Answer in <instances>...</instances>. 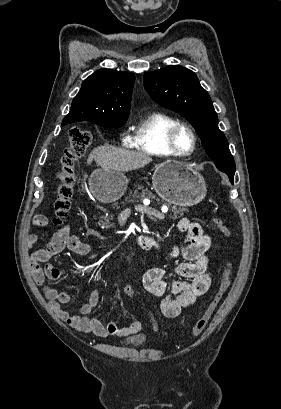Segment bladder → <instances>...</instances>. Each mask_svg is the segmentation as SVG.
Wrapping results in <instances>:
<instances>
[{
	"instance_id": "1",
	"label": "bladder",
	"mask_w": 281,
	"mask_h": 409,
	"mask_svg": "<svg viewBox=\"0 0 281 409\" xmlns=\"http://www.w3.org/2000/svg\"><path fill=\"white\" fill-rule=\"evenodd\" d=\"M124 341L129 347L138 349L148 347L151 343V337L148 333H143L135 336H129L125 338Z\"/></svg>"
}]
</instances>
